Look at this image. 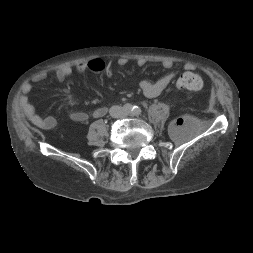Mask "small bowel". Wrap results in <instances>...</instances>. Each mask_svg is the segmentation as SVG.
Listing matches in <instances>:
<instances>
[{"instance_id": "c3829d8e", "label": "small bowel", "mask_w": 253, "mask_h": 253, "mask_svg": "<svg viewBox=\"0 0 253 253\" xmlns=\"http://www.w3.org/2000/svg\"><path fill=\"white\" fill-rule=\"evenodd\" d=\"M128 62H129V59L126 57H120L116 61L117 65L119 66H124L128 64ZM146 62L147 61L144 58H139L136 61L138 66H144ZM88 64L89 62H85V61L78 62L74 66V69L75 71L79 73L86 72L87 70H90ZM161 65L165 69H171L173 67V62L169 59H166L161 62ZM185 69L187 70L193 69V66L191 64H186ZM72 72H73V67L63 66L55 72V78L57 79V81L63 82L67 77H69L72 74ZM104 72L106 73L107 76H112L111 66L107 65ZM177 76H178L177 72L171 71L164 74L163 76H161L159 79L155 81H149V80L142 81L140 83V88L146 97L155 98L159 96L168 85H170L173 81H175ZM45 77L46 75L41 73V74L36 75L33 78V81L40 82L44 80ZM31 90H32V87L30 84L24 85V87L22 88V93L20 97V105L26 118L33 125H35L36 127L40 129H43V130L53 129L57 124L55 117L51 115L42 116L41 114L37 112L35 106L31 103L30 98H29ZM106 113H107V108L103 106L94 109L92 112L76 110L70 113V119L74 122L83 123V122L88 121L91 118H95V119L101 118L105 116Z\"/></svg>"}]
</instances>
